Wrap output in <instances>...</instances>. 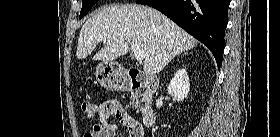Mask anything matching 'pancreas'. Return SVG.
I'll list each match as a JSON object with an SVG mask.
<instances>
[{
  "label": "pancreas",
  "instance_id": "obj_1",
  "mask_svg": "<svg viewBox=\"0 0 280 137\" xmlns=\"http://www.w3.org/2000/svg\"><path fill=\"white\" fill-rule=\"evenodd\" d=\"M139 97H140V94L135 92L132 94L131 96V104L133 105V107H135L138 111H143L144 110V107L141 106L140 102H139ZM143 102H146L145 99H143Z\"/></svg>",
  "mask_w": 280,
  "mask_h": 137
}]
</instances>
